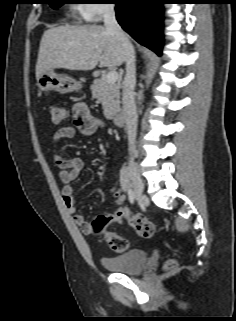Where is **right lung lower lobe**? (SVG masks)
Segmentation results:
<instances>
[{
	"instance_id": "1",
	"label": "right lung lower lobe",
	"mask_w": 236,
	"mask_h": 321,
	"mask_svg": "<svg viewBox=\"0 0 236 321\" xmlns=\"http://www.w3.org/2000/svg\"><path fill=\"white\" fill-rule=\"evenodd\" d=\"M116 18L122 28L137 42L162 54L163 0H112Z\"/></svg>"
}]
</instances>
